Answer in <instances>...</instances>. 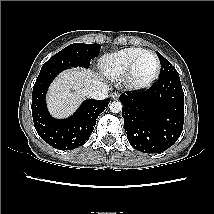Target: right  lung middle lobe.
<instances>
[{
    "mask_svg": "<svg viewBox=\"0 0 214 214\" xmlns=\"http://www.w3.org/2000/svg\"><path fill=\"white\" fill-rule=\"evenodd\" d=\"M100 48V44H71L44 63L41 71L49 68L67 69L78 66L88 68L90 60L99 54Z\"/></svg>",
    "mask_w": 214,
    "mask_h": 214,
    "instance_id": "right-lung-middle-lobe-1",
    "label": "right lung middle lobe"
}]
</instances>
